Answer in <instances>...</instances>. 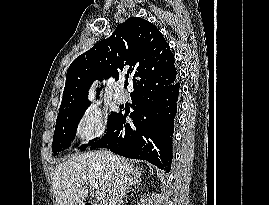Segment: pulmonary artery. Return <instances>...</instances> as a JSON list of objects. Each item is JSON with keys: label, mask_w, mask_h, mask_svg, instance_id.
Masks as SVG:
<instances>
[{"label": "pulmonary artery", "mask_w": 269, "mask_h": 205, "mask_svg": "<svg viewBox=\"0 0 269 205\" xmlns=\"http://www.w3.org/2000/svg\"><path fill=\"white\" fill-rule=\"evenodd\" d=\"M121 88H122V86H121V84H119L117 87V90L114 94V100L118 104H123L126 101V95L124 94V92L122 91Z\"/></svg>", "instance_id": "1"}]
</instances>
